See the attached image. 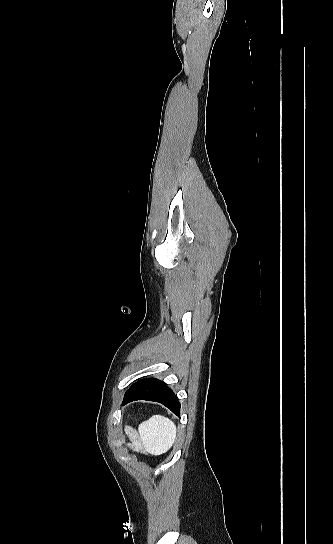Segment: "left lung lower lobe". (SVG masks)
I'll use <instances>...</instances> for the list:
<instances>
[{"mask_svg":"<svg viewBox=\"0 0 333 544\" xmlns=\"http://www.w3.org/2000/svg\"><path fill=\"white\" fill-rule=\"evenodd\" d=\"M135 400L156 401L180 416V403L174 392L162 381L154 378L138 380L126 391L123 405Z\"/></svg>","mask_w":333,"mask_h":544,"instance_id":"1","label":"left lung lower lobe"}]
</instances>
